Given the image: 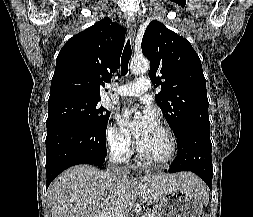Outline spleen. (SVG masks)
<instances>
[{"instance_id":"1","label":"spleen","mask_w":253,"mask_h":217,"mask_svg":"<svg viewBox=\"0 0 253 217\" xmlns=\"http://www.w3.org/2000/svg\"><path fill=\"white\" fill-rule=\"evenodd\" d=\"M202 196H203L204 203H207L208 202V194H207V192L204 193Z\"/></svg>"}]
</instances>
